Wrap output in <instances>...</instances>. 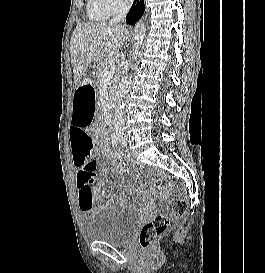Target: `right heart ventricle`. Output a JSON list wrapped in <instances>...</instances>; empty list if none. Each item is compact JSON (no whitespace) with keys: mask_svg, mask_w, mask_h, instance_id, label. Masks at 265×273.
Returning <instances> with one entry per match:
<instances>
[{"mask_svg":"<svg viewBox=\"0 0 265 273\" xmlns=\"http://www.w3.org/2000/svg\"><path fill=\"white\" fill-rule=\"evenodd\" d=\"M88 14L91 19H95V20L105 19L110 16L104 9H102L96 3V0L89 1Z\"/></svg>","mask_w":265,"mask_h":273,"instance_id":"right-heart-ventricle-1","label":"right heart ventricle"}]
</instances>
